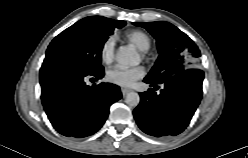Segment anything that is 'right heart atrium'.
<instances>
[{
    "label": "right heart atrium",
    "instance_id": "right-heart-atrium-1",
    "mask_svg": "<svg viewBox=\"0 0 248 158\" xmlns=\"http://www.w3.org/2000/svg\"><path fill=\"white\" fill-rule=\"evenodd\" d=\"M100 58L105 63H110L114 58V43L112 38H107L100 47Z\"/></svg>",
    "mask_w": 248,
    "mask_h": 158
}]
</instances>
